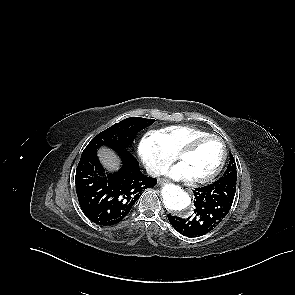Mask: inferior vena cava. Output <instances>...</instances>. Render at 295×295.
<instances>
[{"label":"inferior vena cava","instance_id":"1","mask_svg":"<svg viewBox=\"0 0 295 295\" xmlns=\"http://www.w3.org/2000/svg\"><path fill=\"white\" fill-rule=\"evenodd\" d=\"M146 171L152 177H157L161 174V169L157 166H148L146 167Z\"/></svg>","mask_w":295,"mask_h":295}]
</instances>
